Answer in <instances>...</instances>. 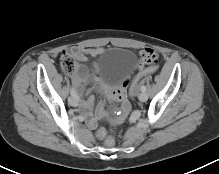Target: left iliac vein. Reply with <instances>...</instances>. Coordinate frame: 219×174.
Wrapping results in <instances>:
<instances>
[{
	"label": "left iliac vein",
	"instance_id": "4c4485c4",
	"mask_svg": "<svg viewBox=\"0 0 219 174\" xmlns=\"http://www.w3.org/2000/svg\"><path fill=\"white\" fill-rule=\"evenodd\" d=\"M138 99H139L141 102H145V101L148 99L147 93H145V92L139 93Z\"/></svg>",
	"mask_w": 219,
	"mask_h": 174
}]
</instances>
